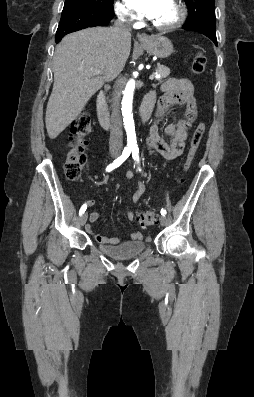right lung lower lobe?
<instances>
[{"instance_id":"right-lung-lower-lobe-1","label":"right lung lower lobe","mask_w":254,"mask_h":397,"mask_svg":"<svg viewBox=\"0 0 254 397\" xmlns=\"http://www.w3.org/2000/svg\"><path fill=\"white\" fill-rule=\"evenodd\" d=\"M114 12H93L74 4L65 3L61 14V20L56 32L55 42L71 32L87 27L105 26L113 18Z\"/></svg>"}]
</instances>
